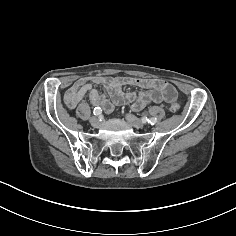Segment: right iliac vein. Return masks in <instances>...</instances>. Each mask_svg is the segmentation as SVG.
<instances>
[{"label": "right iliac vein", "mask_w": 236, "mask_h": 236, "mask_svg": "<svg viewBox=\"0 0 236 236\" xmlns=\"http://www.w3.org/2000/svg\"><path fill=\"white\" fill-rule=\"evenodd\" d=\"M90 124H91L92 126H94V127H99L100 124H101V122H100V120L97 119L96 117H92V118L90 119Z\"/></svg>", "instance_id": "right-iliac-vein-1"}]
</instances>
